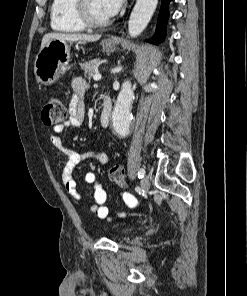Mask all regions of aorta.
<instances>
[{
  "instance_id": "obj_1",
  "label": "aorta",
  "mask_w": 247,
  "mask_h": 296,
  "mask_svg": "<svg viewBox=\"0 0 247 296\" xmlns=\"http://www.w3.org/2000/svg\"><path fill=\"white\" fill-rule=\"evenodd\" d=\"M158 0H137L131 12L128 33L131 37H137L147 27ZM134 93L129 80L123 82L112 113V124L119 135H127L131 124V104Z\"/></svg>"
}]
</instances>
